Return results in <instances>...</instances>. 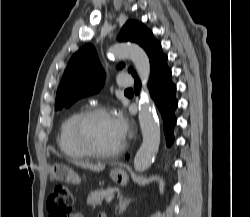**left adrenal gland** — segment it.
I'll return each instance as SVG.
<instances>
[{
  "label": "left adrenal gland",
  "mask_w": 250,
  "mask_h": 217,
  "mask_svg": "<svg viewBox=\"0 0 250 217\" xmlns=\"http://www.w3.org/2000/svg\"><path fill=\"white\" fill-rule=\"evenodd\" d=\"M118 198L119 205L116 207V210L118 209V214H121L126 210L128 204L130 203V199L123 198L122 195H118Z\"/></svg>",
  "instance_id": "obj_1"
}]
</instances>
